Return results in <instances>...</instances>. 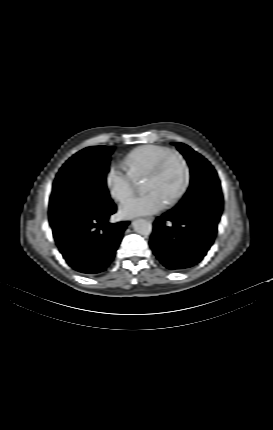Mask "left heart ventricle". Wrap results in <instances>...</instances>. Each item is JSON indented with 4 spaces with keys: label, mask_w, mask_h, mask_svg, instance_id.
<instances>
[{
    "label": "left heart ventricle",
    "mask_w": 273,
    "mask_h": 430,
    "mask_svg": "<svg viewBox=\"0 0 273 430\" xmlns=\"http://www.w3.org/2000/svg\"><path fill=\"white\" fill-rule=\"evenodd\" d=\"M183 178L184 170L181 163L177 159H171L160 177L146 179L145 190L157 191L168 201L181 186Z\"/></svg>",
    "instance_id": "b2bd125f"
}]
</instances>
